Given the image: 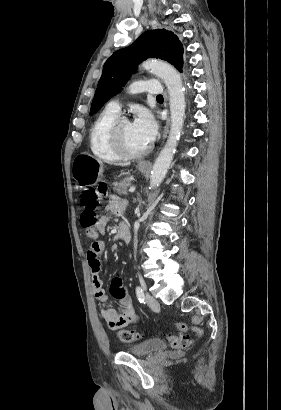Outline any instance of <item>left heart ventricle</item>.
Listing matches in <instances>:
<instances>
[{"label": "left heart ventricle", "instance_id": "obj_1", "mask_svg": "<svg viewBox=\"0 0 281 410\" xmlns=\"http://www.w3.org/2000/svg\"><path fill=\"white\" fill-rule=\"evenodd\" d=\"M120 135L125 145L131 150L138 151L147 147L136 135L130 121L121 124Z\"/></svg>", "mask_w": 281, "mask_h": 410}]
</instances>
